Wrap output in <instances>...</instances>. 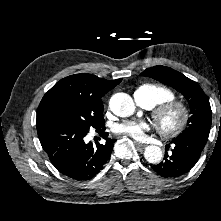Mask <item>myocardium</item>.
Segmentation results:
<instances>
[{
  "label": "myocardium",
  "instance_id": "1",
  "mask_svg": "<svg viewBox=\"0 0 221 221\" xmlns=\"http://www.w3.org/2000/svg\"><path fill=\"white\" fill-rule=\"evenodd\" d=\"M169 114H174L175 119L172 123L167 124L165 118ZM152 115L157 131L165 138L178 136L185 129L189 120L188 107L178 100H170L158 104Z\"/></svg>",
  "mask_w": 221,
  "mask_h": 221
}]
</instances>
